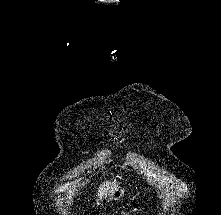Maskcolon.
Listing matches in <instances>:
<instances>
[{
    "label": "colon",
    "instance_id": "5ec220e1",
    "mask_svg": "<svg viewBox=\"0 0 221 215\" xmlns=\"http://www.w3.org/2000/svg\"><path fill=\"white\" fill-rule=\"evenodd\" d=\"M136 209H137L136 206H134L131 211H129V212H123L121 215H130L131 213L135 212Z\"/></svg>",
    "mask_w": 221,
    "mask_h": 215
}]
</instances>
